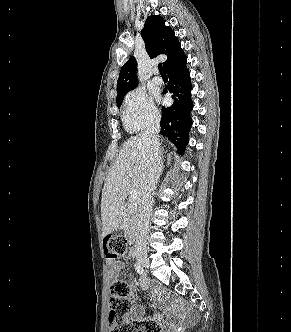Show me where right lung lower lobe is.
<instances>
[{"label": "right lung lower lobe", "instance_id": "right-lung-lower-lobe-1", "mask_svg": "<svg viewBox=\"0 0 291 332\" xmlns=\"http://www.w3.org/2000/svg\"><path fill=\"white\" fill-rule=\"evenodd\" d=\"M186 56L166 69L169 82L163 93H172L174 103L162 107L160 133L173 141L176 147L184 152L189 141V130L192 126L190 113L193 108L191 100V78L186 69ZM179 137V138H177Z\"/></svg>", "mask_w": 291, "mask_h": 332}]
</instances>
